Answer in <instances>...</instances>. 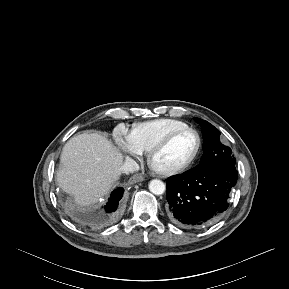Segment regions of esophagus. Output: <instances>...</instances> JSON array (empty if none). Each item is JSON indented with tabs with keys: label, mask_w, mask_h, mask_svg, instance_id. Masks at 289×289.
Here are the masks:
<instances>
[{
	"label": "esophagus",
	"mask_w": 289,
	"mask_h": 289,
	"mask_svg": "<svg viewBox=\"0 0 289 289\" xmlns=\"http://www.w3.org/2000/svg\"><path fill=\"white\" fill-rule=\"evenodd\" d=\"M145 180V177L140 175V174H137V175H134L132 176L129 180H128V183L129 184H135V183H138V182H142Z\"/></svg>",
	"instance_id": "esophagus-1"
}]
</instances>
